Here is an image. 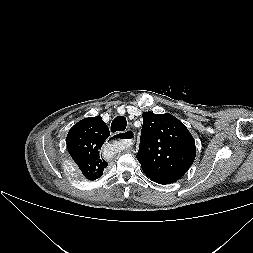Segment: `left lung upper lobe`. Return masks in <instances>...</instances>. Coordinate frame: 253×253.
<instances>
[{
  "label": "left lung upper lobe",
  "instance_id": "1",
  "mask_svg": "<svg viewBox=\"0 0 253 253\" xmlns=\"http://www.w3.org/2000/svg\"><path fill=\"white\" fill-rule=\"evenodd\" d=\"M137 159L154 182L170 184L180 179L194 162L195 141L187 127L171 114H143Z\"/></svg>",
  "mask_w": 253,
  "mask_h": 253
}]
</instances>
